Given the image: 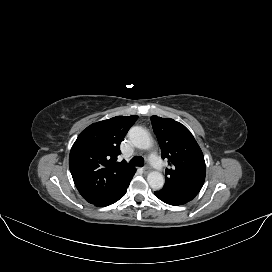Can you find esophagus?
I'll use <instances>...</instances> for the list:
<instances>
[{
	"label": "esophagus",
	"mask_w": 272,
	"mask_h": 272,
	"mask_svg": "<svg viewBox=\"0 0 272 272\" xmlns=\"http://www.w3.org/2000/svg\"><path fill=\"white\" fill-rule=\"evenodd\" d=\"M150 170H151V168L149 166H145L143 168V171H144L145 174H147L148 172H150Z\"/></svg>",
	"instance_id": "1"
}]
</instances>
